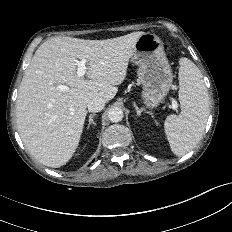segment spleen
Segmentation results:
<instances>
[{
  "label": "spleen",
  "mask_w": 232,
  "mask_h": 232,
  "mask_svg": "<svg viewBox=\"0 0 232 232\" xmlns=\"http://www.w3.org/2000/svg\"><path fill=\"white\" fill-rule=\"evenodd\" d=\"M181 113L169 115L164 124L172 152L183 156L200 141L209 113L208 94L202 74L189 59L179 60Z\"/></svg>",
  "instance_id": "obj_1"
}]
</instances>
